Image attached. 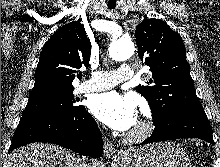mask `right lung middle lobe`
Wrapping results in <instances>:
<instances>
[{
	"instance_id": "1",
	"label": "right lung middle lobe",
	"mask_w": 220,
	"mask_h": 167,
	"mask_svg": "<svg viewBox=\"0 0 220 167\" xmlns=\"http://www.w3.org/2000/svg\"><path fill=\"white\" fill-rule=\"evenodd\" d=\"M73 89H68L48 96L29 99L22 117L40 112L71 113L81 107L74 98Z\"/></svg>"
}]
</instances>
